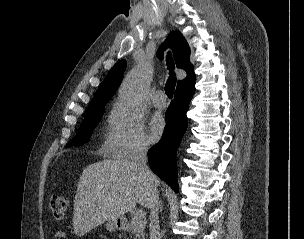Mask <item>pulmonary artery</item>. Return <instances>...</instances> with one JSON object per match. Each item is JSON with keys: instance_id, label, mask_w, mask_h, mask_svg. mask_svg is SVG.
Returning <instances> with one entry per match:
<instances>
[{"instance_id": "e3ab8cb5", "label": "pulmonary artery", "mask_w": 304, "mask_h": 239, "mask_svg": "<svg viewBox=\"0 0 304 239\" xmlns=\"http://www.w3.org/2000/svg\"><path fill=\"white\" fill-rule=\"evenodd\" d=\"M152 103L157 108H163L166 105V99L163 91L158 90L152 96Z\"/></svg>"}]
</instances>
